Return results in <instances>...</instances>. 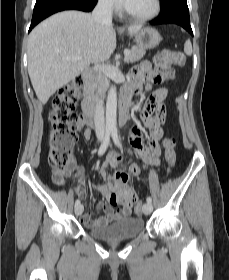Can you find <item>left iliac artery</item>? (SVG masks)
I'll use <instances>...</instances> for the list:
<instances>
[{
  "mask_svg": "<svg viewBox=\"0 0 229 280\" xmlns=\"http://www.w3.org/2000/svg\"><path fill=\"white\" fill-rule=\"evenodd\" d=\"M112 138H113L115 145L118 146L120 149H122V144L119 140L117 129L112 130ZM146 200L148 203L152 202V199L150 196H148Z\"/></svg>",
  "mask_w": 229,
  "mask_h": 280,
  "instance_id": "1",
  "label": "left iliac artery"
}]
</instances>
